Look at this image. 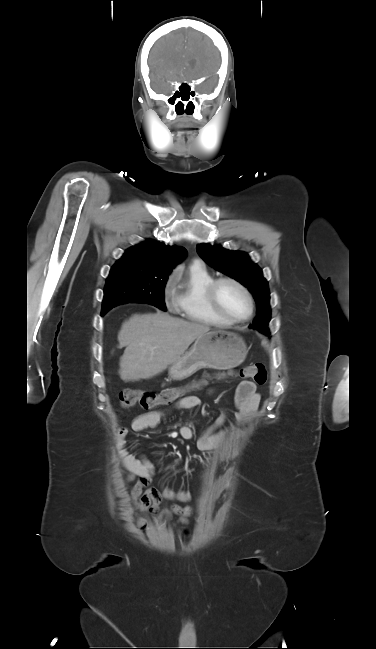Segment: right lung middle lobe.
Returning a JSON list of instances; mask_svg holds the SVG:
<instances>
[{
	"label": "right lung middle lobe",
	"mask_w": 376,
	"mask_h": 649,
	"mask_svg": "<svg viewBox=\"0 0 376 649\" xmlns=\"http://www.w3.org/2000/svg\"><path fill=\"white\" fill-rule=\"evenodd\" d=\"M169 274L150 273L134 261L118 260L106 281L101 314L128 302L149 303L166 311L164 288Z\"/></svg>",
	"instance_id": "dd1d6c3e"
}]
</instances>
